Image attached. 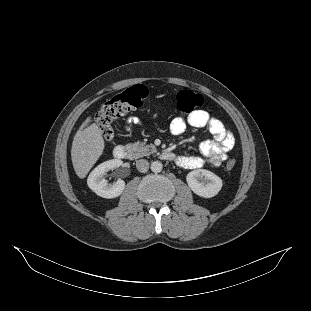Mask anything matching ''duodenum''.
Wrapping results in <instances>:
<instances>
[{"label":"duodenum","mask_w":311,"mask_h":311,"mask_svg":"<svg viewBox=\"0 0 311 311\" xmlns=\"http://www.w3.org/2000/svg\"><path fill=\"white\" fill-rule=\"evenodd\" d=\"M113 155L117 159H129L132 158L131 152L123 145H117L113 149ZM161 158L164 160L172 161L175 159V155L172 152H163Z\"/></svg>","instance_id":"410a0bca"}]
</instances>
